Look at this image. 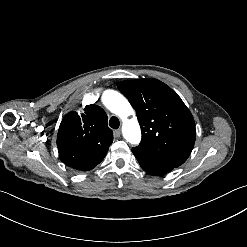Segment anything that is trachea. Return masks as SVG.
I'll return each instance as SVG.
<instances>
[{"instance_id":"obj_1","label":"trachea","mask_w":247,"mask_h":247,"mask_svg":"<svg viewBox=\"0 0 247 247\" xmlns=\"http://www.w3.org/2000/svg\"><path fill=\"white\" fill-rule=\"evenodd\" d=\"M109 125L114 129H118L119 125H120L119 119L117 117H114V116L111 117Z\"/></svg>"}]
</instances>
